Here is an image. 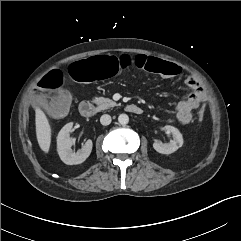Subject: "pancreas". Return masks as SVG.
<instances>
[{
  "label": "pancreas",
  "mask_w": 241,
  "mask_h": 241,
  "mask_svg": "<svg viewBox=\"0 0 241 241\" xmlns=\"http://www.w3.org/2000/svg\"><path fill=\"white\" fill-rule=\"evenodd\" d=\"M92 102L98 105V111H102L110 107H115L117 105L114 101L104 97H95L93 98Z\"/></svg>",
  "instance_id": "pancreas-1"
}]
</instances>
